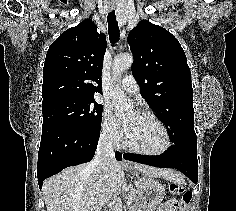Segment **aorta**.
Listing matches in <instances>:
<instances>
[{
    "label": "aorta",
    "instance_id": "762f6f07",
    "mask_svg": "<svg viewBox=\"0 0 236 211\" xmlns=\"http://www.w3.org/2000/svg\"><path fill=\"white\" fill-rule=\"evenodd\" d=\"M133 63V56L132 54H122L118 55L114 59L113 63V73L115 77L119 76L123 71L127 70L131 67ZM112 98L115 103V110L117 113H123L125 111H128L132 108V104L127 101L125 98L124 92L118 88H115L112 91Z\"/></svg>",
    "mask_w": 236,
    "mask_h": 211
}]
</instances>
